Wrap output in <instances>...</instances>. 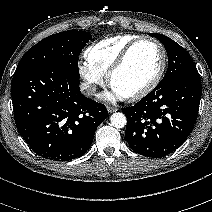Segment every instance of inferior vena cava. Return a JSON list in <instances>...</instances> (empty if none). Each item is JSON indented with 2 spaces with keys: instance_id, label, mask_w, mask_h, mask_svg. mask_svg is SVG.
<instances>
[{
  "instance_id": "obj_1",
  "label": "inferior vena cava",
  "mask_w": 212,
  "mask_h": 212,
  "mask_svg": "<svg viewBox=\"0 0 212 212\" xmlns=\"http://www.w3.org/2000/svg\"><path fill=\"white\" fill-rule=\"evenodd\" d=\"M80 89L84 95L90 96L95 93L96 86L94 84H89V83L85 82V83H81Z\"/></svg>"
}]
</instances>
